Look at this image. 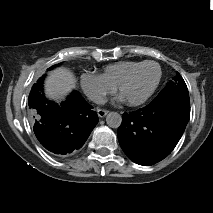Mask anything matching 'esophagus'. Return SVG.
Returning <instances> with one entry per match:
<instances>
[{
    "label": "esophagus",
    "mask_w": 213,
    "mask_h": 213,
    "mask_svg": "<svg viewBox=\"0 0 213 213\" xmlns=\"http://www.w3.org/2000/svg\"><path fill=\"white\" fill-rule=\"evenodd\" d=\"M97 114L100 118H103L105 117L107 114H108V111L107 110H104V109H98L97 110Z\"/></svg>",
    "instance_id": "34e87169"
}]
</instances>
